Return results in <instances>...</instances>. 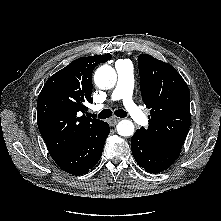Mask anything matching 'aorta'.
Returning <instances> with one entry per match:
<instances>
[{"label":"aorta","mask_w":221,"mask_h":221,"mask_svg":"<svg viewBox=\"0 0 221 221\" xmlns=\"http://www.w3.org/2000/svg\"><path fill=\"white\" fill-rule=\"evenodd\" d=\"M94 81L100 89H111L117 81L116 71L109 65H103L96 70ZM117 132L120 136H131L134 133V124L130 120H122L117 125Z\"/></svg>","instance_id":"1"}]
</instances>
